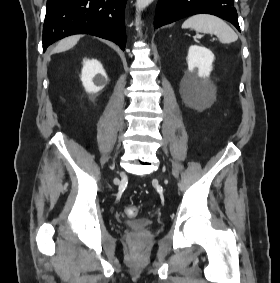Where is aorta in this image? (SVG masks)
Masks as SVG:
<instances>
[{"instance_id": "1", "label": "aorta", "mask_w": 280, "mask_h": 283, "mask_svg": "<svg viewBox=\"0 0 280 283\" xmlns=\"http://www.w3.org/2000/svg\"><path fill=\"white\" fill-rule=\"evenodd\" d=\"M152 2L153 0H136V23L140 21V12Z\"/></svg>"}]
</instances>
